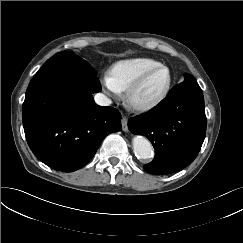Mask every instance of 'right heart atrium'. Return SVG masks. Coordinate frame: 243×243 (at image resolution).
I'll return each instance as SVG.
<instances>
[{
	"label": "right heart atrium",
	"instance_id": "d8ad5b80",
	"mask_svg": "<svg viewBox=\"0 0 243 243\" xmlns=\"http://www.w3.org/2000/svg\"><path fill=\"white\" fill-rule=\"evenodd\" d=\"M103 83H104V88H105V90H106L109 94H111V95H113V96H118L119 91H118V90L111 84V82H110L108 76L104 78V82H103Z\"/></svg>",
	"mask_w": 243,
	"mask_h": 243
}]
</instances>
